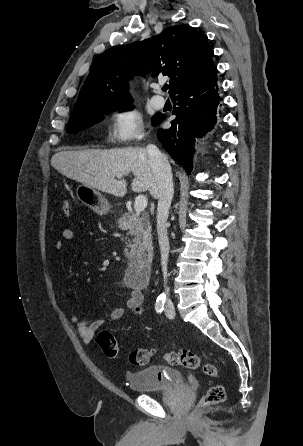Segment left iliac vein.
<instances>
[{"label":"left iliac vein","instance_id":"obj_1","mask_svg":"<svg viewBox=\"0 0 303 446\" xmlns=\"http://www.w3.org/2000/svg\"><path fill=\"white\" fill-rule=\"evenodd\" d=\"M165 314L168 318H173L175 315V309L174 306L172 304H168L166 305L165 308Z\"/></svg>","mask_w":303,"mask_h":446}]
</instances>
